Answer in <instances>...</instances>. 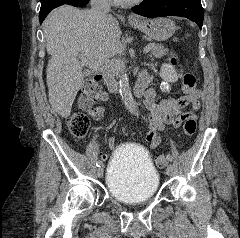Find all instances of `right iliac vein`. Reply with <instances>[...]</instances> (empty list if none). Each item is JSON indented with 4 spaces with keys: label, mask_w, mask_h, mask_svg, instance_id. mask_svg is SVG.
I'll list each match as a JSON object with an SVG mask.
<instances>
[{
    "label": "right iliac vein",
    "mask_w": 240,
    "mask_h": 238,
    "mask_svg": "<svg viewBox=\"0 0 240 238\" xmlns=\"http://www.w3.org/2000/svg\"><path fill=\"white\" fill-rule=\"evenodd\" d=\"M103 173H104V169H103V167L101 166V167H99V168L97 169V175H98V177H99V178H102V177H103Z\"/></svg>",
    "instance_id": "1"
}]
</instances>
